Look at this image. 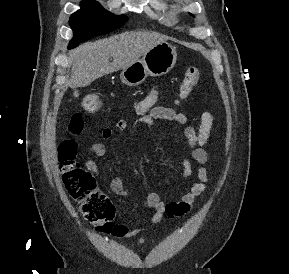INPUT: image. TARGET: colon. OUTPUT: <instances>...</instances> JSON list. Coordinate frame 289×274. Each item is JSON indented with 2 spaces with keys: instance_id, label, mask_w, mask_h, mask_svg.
I'll return each instance as SVG.
<instances>
[{
  "instance_id": "colon-1",
  "label": "colon",
  "mask_w": 289,
  "mask_h": 274,
  "mask_svg": "<svg viewBox=\"0 0 289 274\" xmlns=\"http://www.w3.org/2000/svg\"><path fill=\"white\" fill-rule=\"evenodd\" d=\"M197 67L185 69L179 87V97L186 99L199 81ZM81 107L89 113H96L102 107L97 93H88L81 100ZM71 134L78 135L83 130L81 116L75 115L69 125ZM77 144L73 139L63 140L58 147L60 170L64 185L70 196L79 204L85 219L100 232L112 230L114 208L109 197L97 186L94 176L76 160Z\"/></svg>"
}]
</instances>
